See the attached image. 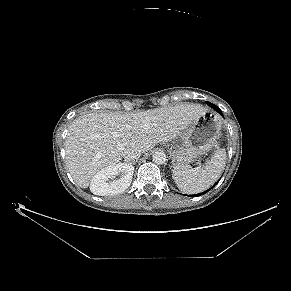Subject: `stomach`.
Returning <instances> with one entry per match:
<instances>
[{"label":"stomach","mask_w":291,"mask_h":291,"mask_svg":"<svg viewBox=\"0 0 291 291\" xmlns=\"http://www.w3.org/2000/svg\"><path fill=\"white\" fill-rule=\"evenodd\" d=\"M221 122L212 112H206L192 121L171 150L175 166L188 165L216 146L221 135Z\"/></svg>","instance_id":"stomach-1"}]
</instances>
